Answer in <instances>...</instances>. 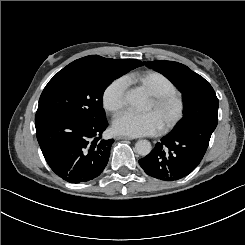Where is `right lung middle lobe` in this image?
Listing matches in <instances>:
<instances>
[{"label":"right lung middle lobe","mask_w":245,"mask_h":245,"mask_svg":"<svg viewBox=\"0 0 245 245\" xmlns=\"http://www.w3.org/2000/svg\"><path fill=\"white\" fill-rule=\"evenodd\" d=\"M134 59L86 56L59 71L46 85L35 121L51 117H71L96 122L105 119L102 96L116 78L139 67Z\"/></svg>","instance_id":"obj_1"}]
</instances>
